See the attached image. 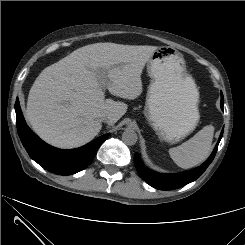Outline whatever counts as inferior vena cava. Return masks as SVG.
Returning a JSON list of instances; mask_svg holds the SVG:
<instances>
[{
  "mask_svg": "<svg viewBox=\"0 0 245 245\" xmlns=\"http://www.w3.org/2000/svg\"><path fill=\"white\" fill-rule=\"evenodd\" d=\"M101 122H108V117H106V116H103V117H101L100 119H99Z\"/></svg>",
  "mask_w": 245,
  "mask_h": 245,
  "instance_id": "obj_1",
  "label": "inferior vena cava"
}]
</instances>
